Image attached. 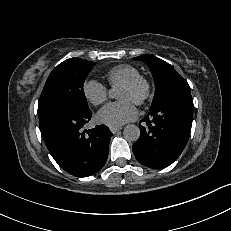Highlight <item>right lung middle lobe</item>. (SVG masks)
I'll return each mask as SVG.
<instances>
[{
    "instance_id": "dd1d6c3e",
    "label": "right lung middle lobe",
    "mask_w": 231,
    "mask_h": 231,
    "mask_svg": "<svg viewBox=\"0 0 231 231\" xmlns=\"http://www.w3.org/2000/svg\"><path fill=\"white\" fill-rule=\"evenodd\" d=\"M94 62L70 58L50 73L38 103L39 120L60 110H89L83 84Z\"/></svg>"
}]
</instances>
